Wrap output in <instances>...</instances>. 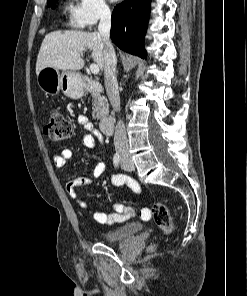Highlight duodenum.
<instances>
[{
    "instance_id": "1",
    "label": "duodenum",
    "mask_w": 247,
    "mask_h": 296,
    "mask_svg": "<svg viewBox=\"0 0 247 296\" xmlns=\"http://www.w3.org/2000/svg\"><path fill=\"white\" fill-rule=\"evenodd\" d=\"M85 89L88 92H93V93H98L102 91V85L100 82L96 81V80H91L88 79L85 81ZM113 117L111 115H105L103 117L100 118L99 121V126H100V130L102 133L104 134H109L111 133L112 129H113Z\"/></svg>"
}]
</instances>
